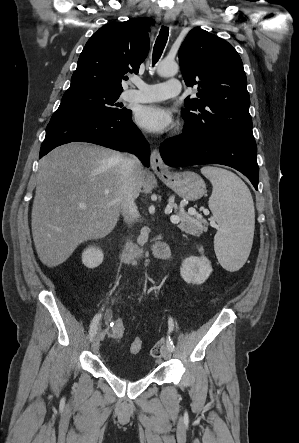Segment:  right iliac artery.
I'll use <instances>...</instances> for the list:
<instances>
[{"label": "right iliac artery", "mask_w": 299, "mask_h": 443, "mask_svg": "<svg viewBox=\"0 0 299 443\" xmlns=\"http://www.w3.org/2000/svg\"><path fill=\"white\" fill-rule=\"evenodd\" d=\"M101 314H96L91 322L90 330H89V340L92 341L95 335L97 334L98 323L101 319Z\"/></svg>", "instance_id": "1"}]
</instances>
